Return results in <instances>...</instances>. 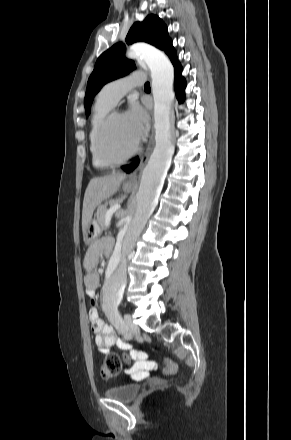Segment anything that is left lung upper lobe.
<instances>
[{
	"label": "left lung upper lobe",
	"instance_id": "left-lung-upper-lobe-1",
	"mask_svg": "<svg viewBox=\"0 0 291 440\" xmlns=\"http://www.w3.org/2000/svg\"><path fill=\"white\" fill-rule=\"evenodd\" d=\"M139 41L149 43L165 51L171 61L176 58V51L168 36L167 27L158 16L151 14L143 22L133 24L127 34L126 43L132 44ZM124 53L125 45L117 43L98 58L87 83L84 100L87 116L90 114L93 98L101 87L112 80L127 75L135 68L134 62L126 59Z\"/></svg>",
	"mask_w": 291,
	"mask_h": 440
}]
</instances>
